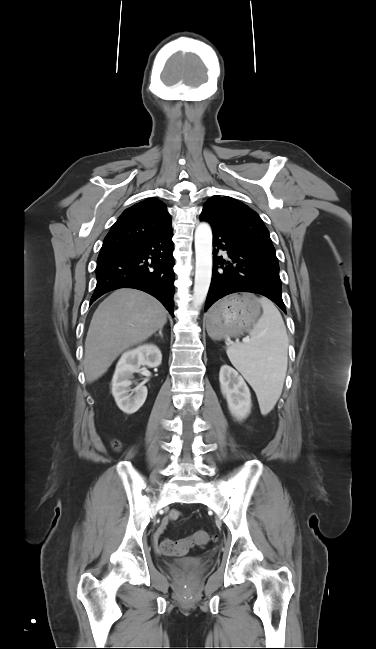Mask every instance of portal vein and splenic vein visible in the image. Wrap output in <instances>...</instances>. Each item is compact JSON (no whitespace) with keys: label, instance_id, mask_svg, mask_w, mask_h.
Returning a JSON list of instances; mask_svg holds the SVG:
<instances>
[{"label":"portal vein and splenic vein","instance_id":"1","mask_svg":"<svg viewBox=\"0 0 376 649\" xmlns=\"http://www.w3.org/2000/svg\"><path fill=\"white\" fill-rule=\"evenodd\" d=\"M249 341H250L249 338H245V339H244V342H249Z\"/></svg>","mask_w":376,"mask_h":649}]
</instances>
